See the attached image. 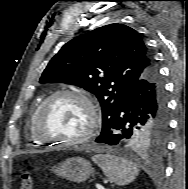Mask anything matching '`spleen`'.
<instances>
[{
  "instance_id": "spleen-1",
  "label": "spleen",
  "mask_w": 188,
  "mask_h": 189,
  "mask_svg": "<svg viewBox=\"0 0 188 189\" xmlns=\"http://www.w3.org/2000/svg\"><path fill=\"white\" fill-rule=\"evenodd\" d=\"M110 181L119 186L133 182L139 169L132 162L111 154H97L92 157Z\"/></svg>"
}]
</instances>
